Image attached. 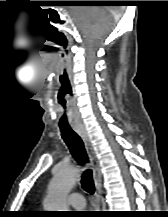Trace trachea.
Listing matches in <instances>:
<instances>
[{
  "label": "trachea",
  "mask_w": 168,
  "mask_h": 217,
  "mask_svg": "<svg viewBox=\"0 0 168 217\" xmlns=\"http://www.w3.org/2000/svg\"><path fill=\"white\" fill-rule=\"evenodd\" d=\"M60 130L62 139L68 146L74 159L79 164H85L88 160V156L80 136L70 126L60 127ZM81 185L86 192L90 194L95 192L93 175L90 169H87L83 172L81 177Z\"/></svg>",
  "instance_id": "trachea-1"
}]
</instances>
